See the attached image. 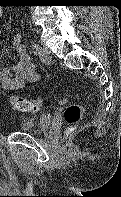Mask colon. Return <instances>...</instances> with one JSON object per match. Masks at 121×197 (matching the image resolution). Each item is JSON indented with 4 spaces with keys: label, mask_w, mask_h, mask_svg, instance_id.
<instances>
[{
    "label": "colon",
    "mask_w": 121,
    "mask_h": 197,
    "mask_svg": "<svg viewBox=\"0 0 121 197\" xmlns=\"http://www.w3.org/2000/svg\"><path fill=\"white\" fill-rule=\"evenodd\" d=\"M11 104L13 107L22 112H37L42 107V100L36 98L33 100H27L21 97L12 96L10 98ZM65 103V101H60V104ZM83 114V109L78 104H71L66 107L64 110V119L69 125L68 133L72 134L76 130L78 123L80 122Z\"/></svg>",
    "instance_id": "colon-1"
}]
</instances>
